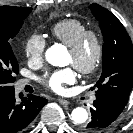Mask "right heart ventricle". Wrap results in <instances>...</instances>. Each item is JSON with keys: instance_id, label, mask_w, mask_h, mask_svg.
Returning a JSON list of instances; mask_svg holds the SVG:
<instances>
[{"instance_id": "obj_1", "label": "right heart ventricle", "mask_w": 133, "mask_h": 133, "mask_svg": "<svg viewBox=\"0 0 133 133\" xmlns=\"http://www.w3.org/2000/svg\"><path fill=\"white\" fill-rule=\"evenodd\" d=\"M86 29L87 25L79 19H64L51 27V35L54 39L69 47Z\"/></svg>"}]
</instances>
